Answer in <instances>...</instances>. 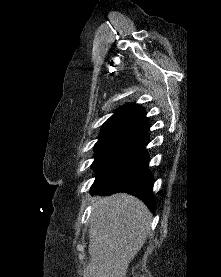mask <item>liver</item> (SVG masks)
<instances>
[{
  "mask_svg": "<svg viewBox=\"0 0 221 277\" xmlns=\"http://www.w3.org/2000/svg\"><path fill=\"white\" fill-rule=\"evenodd\" d=\"M92 204L90 262L83 277H126L130 262L146 241L150 211L125 193L95 197Z\"/></svg>",
  "mask_w": 221,
  "mask_h": 277,
  "instance_id": "obj_1",
  "label": "liver"
}]
</instances>
